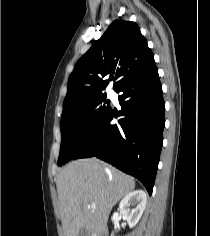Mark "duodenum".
Here are the masks:
<instances>
[{
    "instance_id": "410a0bca",
    "label": "duodenum",
    "mask_w": 210,
    "mask_h": 236,
    "mask_svg": "<svg viewBox=\"0 0 210 236\" xmlns=\"http://www.w3.org/2000/svg\"><path fill=\"white\" fill-rule=\"evenodd\" d=\"M93 236H107L106 230L103 229L101 232H99L98 234H95Z\"/></svg>"
}]
</instances>
